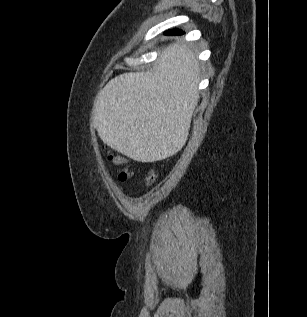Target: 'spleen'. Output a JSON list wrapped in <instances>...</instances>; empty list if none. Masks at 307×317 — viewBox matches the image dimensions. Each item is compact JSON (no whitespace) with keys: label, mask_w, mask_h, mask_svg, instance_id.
<instances>
[{"label":"spleen","mask_w":307,"mask_h":317,"mask_svg":"<svg viewBox=\"0 0 307 317\" xmlns=\"http://www.w3.org/2000/svg\"><path fill=\"white\" fill-rule=\"evenodd\" d=\"M167 72L125 73L100 93L95 125L100 138L133 160L179 155L198 101V66L184 48H170ZM165 70V68H164Z\"/></svg>","instance_id":"spleen-1"}]
</instances>
